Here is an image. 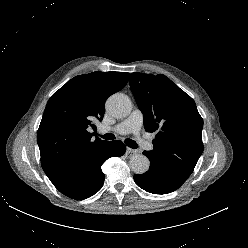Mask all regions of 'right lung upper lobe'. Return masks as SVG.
Here are the masks:
<instances>
[{"mask_svg":"<svg viewBox=\"0 0 248 248\" xmlns=\"http://www.w3.org/2000/svg\"><path fill=\"white\" fill-rule=\"evenodd\" d=\"M129 79L125 72H92L76 76L49 99L37 133L41 165L51 178L76 155L106 141L88 132L102 120L105 101Z\"/></svg>","mask_w":248,"mask_h":248,"instance_id":"right-lung-upper-lobe-1","label":"right lung upper lobe"}]
</instances>
